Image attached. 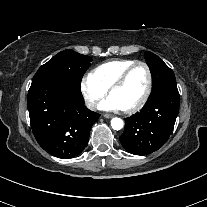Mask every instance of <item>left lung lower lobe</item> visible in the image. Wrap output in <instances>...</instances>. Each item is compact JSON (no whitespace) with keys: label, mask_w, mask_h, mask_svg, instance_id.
<instances>
[{"label":"left lung lower lobe","mask_w":207,"mask_h":207,"mask_svg":"<svg viewBox=\"0 0 207 207\" xmlns=\"http://www.w3.org/2000/svg\"><path fill=\"white\" fill-rule=\"evenodd\" d=\"M179 100L177 87L150 95L140 112L125 119L124 132L120 136L122 146L135 155H147L162 147L173 130Z\"/></svg>","instance_id":"obj_1"}]
</instances>
